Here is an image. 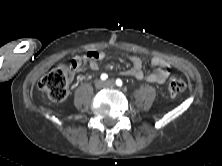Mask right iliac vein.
Returning <instances> with one entry per match:
<instances>
[{
	"label": "right iliac vein",
	"mask_w": 222,
	"mask_h": 166,
	"mask_svg": "<svg viewBox=\"0 0 222 166\" xmlns=\"http://www.w3.org/2000/svg\"><path fill=\"white\" fill-rule=\"evenodd\" d=\"M95 87H96L97 89H102V88L104 87V82H103L102 80H97V81L95 82Z\"/></svg>",
	"instance_id": "right-iliac-vein-1"
}]
</instances>
